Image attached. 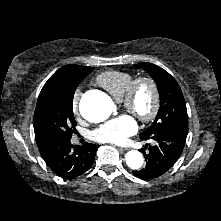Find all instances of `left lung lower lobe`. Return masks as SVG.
<instances>
[{"label":"left lung lower lobe","mask_w":221,"mask_h":221,"mask_svg":"<svg viewBox=\"0 0 221 221\" xmlns=\"http://www.w3.org/2000/svg\"><path fill=\"white\" fill-rule=\"evenodd\" d=\"M187 134L188 125H178L149 136H140L141 140L152 139L155 145H149L147 153L144 149L140 150L145 156L146 167L133 171V174L146 180L165 174L182 154Z\"/></svg>","instance_id":"left-lung-lower-lobe-1"}]
</instances>
